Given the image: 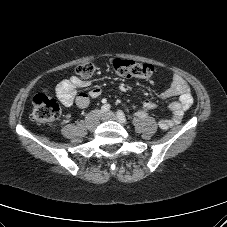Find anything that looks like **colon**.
Masks as SVG:
<instances>
[{
  "mask_svg": "<svg viewBox=\"0 0 227 227\" xmlns=\"http://www.w3.org/2000/svg\"><path fill=\"white\" fill-rule=\"evenodd\" d=\"M110 66L118 75L128 78H150L154 73L152 65L128 59H114ZM76 72L82 78H90L95 73V66L90 62L83 63L77 67ZM59 115V102L47 91H43L34 97L32 118L35 122L39 124L50 123L58 119Z\"/></svg>",
  "mask_w": 227,
  "mask_h": 227,
  "instance_id": "colon-1",
  "label": "colon"
}]
</instances>
